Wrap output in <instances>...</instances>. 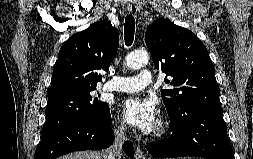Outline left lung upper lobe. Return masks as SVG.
<instances>
[{
  "label": "left lung upper lobe",
  "mask_w": 253,
  "mask_h": 159,
  "mask_svg": "<svg viewBox=\"0 0 253 159\" xmlns=\"http://www.w3.org/2000/svg\"><path fill=\"white\" fill-rule=\"evenodd\" d=\"M145 42L157 69L172 77L161 91L170 117L177 121L189 107H221L215 68L204 44L191 31L166 19L153 22Z\"/></svg>",
  "instance_id": "obj_1"
}]
</instances>
